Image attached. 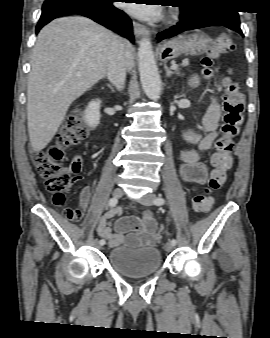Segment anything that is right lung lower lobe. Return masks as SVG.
Here are the masks:
<instances>
[{
  "label": "right lung lower lobe",
  "mask_w": 270,
  "mask_h": 338,
  "mask_svg": "<svg viewBox=\"0 0 270 338\" xmlns=\"http://www.w3.org/2000/svg\"><path fill=\"white\" fill-rule=\"evenodd\" d=\"M116 0H46L42 6V14L36 26L39 30L55 18L79 14L111 29L134 41L132 22L129 17L112 5Z\"/></svg>",
  "instance_id": "98d812e1"
}]
</instances>
